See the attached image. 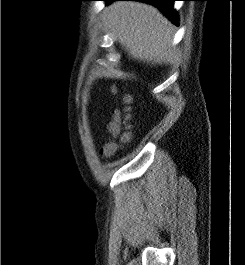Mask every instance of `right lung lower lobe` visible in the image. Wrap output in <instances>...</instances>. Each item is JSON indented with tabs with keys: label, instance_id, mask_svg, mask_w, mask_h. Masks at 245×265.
Returning a JSON list of instances; mask_svg holds the SVG:
<instances>
[{
	"label": "right lung lower lobe",
	"instance_id": "98d812e1",
	"mask_svg": "<svg viewBox=\"0 0 245 265\" xmlns=\"http://www.w3.org/2000/svg\"><path fill=\"white\" fill-rule=\"evenodd\" d=\"M106 5L112 1H142L146 3H151L158 7L174 24H178V18L175 11L173 10V3L176 0H103Z\"/></svg>",
	"mask_w": 245,
	"mask_h": 265
}]
</instances>
